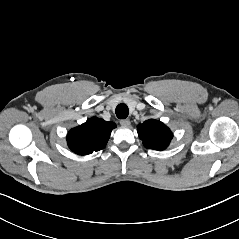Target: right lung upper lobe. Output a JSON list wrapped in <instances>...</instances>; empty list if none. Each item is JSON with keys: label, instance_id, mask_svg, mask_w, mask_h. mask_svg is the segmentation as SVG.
<instances>
[{"label": "right lung upper lobe", "instance_id": "cb5924a9", "mask_svg": "<svg viewBox=\"0 0 239 239\" xmlns=\"http://www.w3.org/2000/svg\"><path fill=\"white\" fill-rule=\"evenodd\" d=\"M116 127L113 122L92 117L82 125L71 129L67 135L69 148L76 154L87 155L103 149Z\"/></svg>", "mask_w": 239, "mask_h": 239}]
</instances>
